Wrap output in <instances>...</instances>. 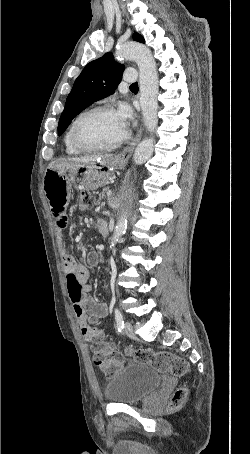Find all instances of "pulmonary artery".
<instances>
[{
	"mask_svg": "<svg viewBox=\"0 0 250 454\" xmlns=\"http://www.w3.org/2000/svg\"><path fill=\"white\" fill-rule=\"evenodd\" d=\"M124 80L126 82H135L137 80V73L132 69H127L124 73Z\"/></svg>",
	"mask_w": 250,
	"mask_h": 454,
	"instance_id": "1",
	"label": "pulmonary artery"
}]
</instances>
